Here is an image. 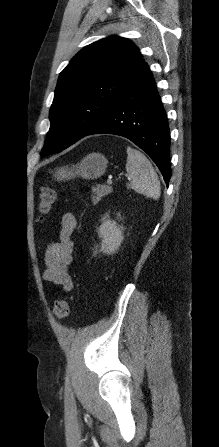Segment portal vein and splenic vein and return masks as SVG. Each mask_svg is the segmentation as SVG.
<instances>
[{"label": "portal vein and splenic vein", "instance_id": "portal-vein-and-splenic-vein-1", "mask_svg": "<svg viewBox=\"0 0 219 447\" xmlns=\"http://www.w3.org/2000/svg\"><path fill=\"white\" fill-rule=\"evenodd\" d=\"M107 183H108L109 185H112V184H113L112 179H108V180H107Z\"/></svg>", "mask_w": 219, "mask_h": 447}]
</instances>
